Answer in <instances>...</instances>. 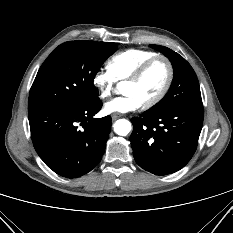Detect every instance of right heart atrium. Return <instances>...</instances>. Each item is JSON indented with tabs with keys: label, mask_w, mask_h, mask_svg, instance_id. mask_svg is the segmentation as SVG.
Masks as SVG:
<instances>
[{
	"label": "right heart atrium",
	"mask_w": 233,
	"mask_h": 233,
	"mask_svg": "<svg viewBox=\"0 0 233 233\" xmlns=\"http://www.w3.org/2000/svg\"><path fill=\"white\" fill-rule=\"evenodd\" d=\"M93 84L102 98H108L115 91L117 81L108 69H100L93 76Z\"/></svg>",
	"instance_id": "obj_1"
}]
</instances>
